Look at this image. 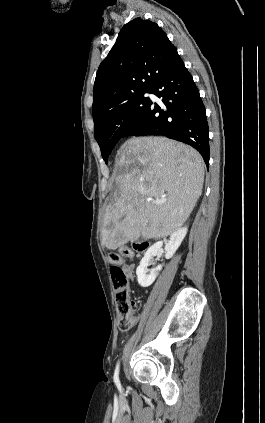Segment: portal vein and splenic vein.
Returning a JSON list of instances; mask_svg holds the SVG:
<instances>
[{
  "mask_svg": "<svg viewBox=\"0 0 265 423\" xmlns=\"http://www.w3.org/2000/svg\"><path fill=\"white\" fill-rule=\"evenodd\" d=\"M148 201H150L152 204H155V205H162L166 202V199L163 198V199H155L154 200L153 198H148Z\"/></svg>",
  "mask_w": 265,
  "mask_h": 423,
  "instance_id": "18ae733b",
  "label": "portal vein and splenic vein"
}]
</instances>
